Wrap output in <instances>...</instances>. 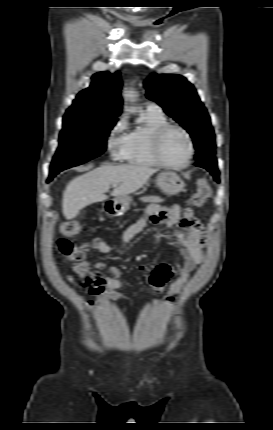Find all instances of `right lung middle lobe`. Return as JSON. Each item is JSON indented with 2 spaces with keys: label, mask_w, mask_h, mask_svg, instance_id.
Wrapping results in <instances>:
<instances>
[{
  "label": "right lung middle lobe",
  "mask_w": 273,
  "mask_h": 430,
  "mask_svg": "<svg viewBox=\"0 0 273 430\" xmlns=\"http://www.w3.org/2000/svg\"><path fill=\"white\" fill-rule=\"evenodd\" d=\"M114 118H92L66 113L60 133L59 147L52 160L50 175L83 164L102 154Z\"/></svg>",
  "instance_id": "1"
}]
</instances>
